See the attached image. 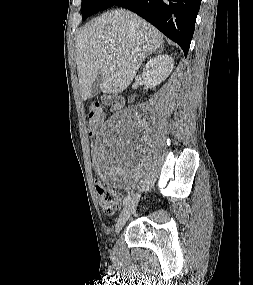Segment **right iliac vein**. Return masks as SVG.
<instances>
[{"instance_id": "63e3f726", "label": "right iliac vein", "mask_w": 253, "mask_h": 285, "mask_svg": "<svg viewBox=\"0 0 253 285\" xmlns=\"http://www.w3.org/2000/svg\"><path fill=\"white\" fill-rule=\"evenodd\" d=\"M140 195L135 194L131 200L128 202V204L125 206V208L122 210L121 214L119 215V218L117 220L116 226H115V232L119 233L124 225L126 224L127 220L131 216V214L135 211V208L139 202Z\"/></svg>"}]
</instances>
